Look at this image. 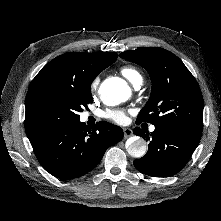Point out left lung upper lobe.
Returning <instances> with one entry per match:
<instances>
[{"label": "left lung upper lobe", "mask_w": 221, "mask_h": 221, "mask_svg": "<svg viewBox=\"0 0 221 221\" xmlns=\"http://www.w3.org/2000/svg\"><path fill=\"white\" fill-rule=\"evenodd\" d=\"M147 70L151 95L136 122L202 134L203 97L194 76L173 53L160 47H141L119 54Z\"/></svg>", "instance_id": "left-lung-upper-lobe-1"}]
</instances>
